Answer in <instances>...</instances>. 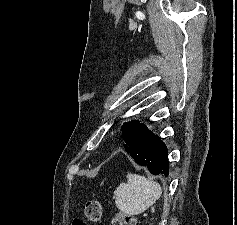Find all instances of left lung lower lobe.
<instances>
[{
	"instance_id": "obj_1",
	"label": "left lung lower lobe",
	"mask_w": 237,
	"mask_h": 225,
	"mask_svg": "<svg viewBox=\"0 0 237 225\" xmlns=\"http://www.w3.org/2000/svg\"><path fill=\"white\" fill-rule=\"evenodd\" d=\"M122 137L125 151L141 166H146L153 175H169L168 151L165 144L138 121L124 123Z\"/></svg>"
}]
</instances>
